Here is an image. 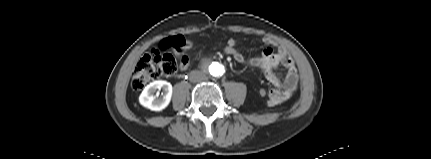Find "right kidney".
<instances>
[{"label":"right kidney","mask_w":431,"mask_h":159,"mask_svg":"<svg viewBox=\"0 0 431 159\" xmlns=\"http://www.w3.org/2000/svg\"><path fill=\"white\" fill-rule=\"evenodd\" d=\"M161 89L164 94L159 97V91ZM171 97L172 85L167 81L158 80L150 83L144 88L139 96V102L142 106L152 111H161L169 105Z\"/></svg>","instance_id":"obj_1"}]
</instances>
